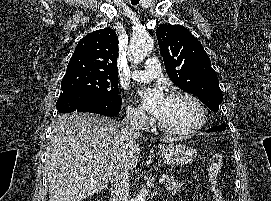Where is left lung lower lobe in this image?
Masks as SVG:
<instances>
[{"label": "left lung lower lobe", "mask_w": 271, "mask_h": 201, "mask_svg": "<svg viewBox=\"0 0 271 201\" xmlns=\"http://www.w3.org/2000/svg\"><path fill=\"white\" fill-rule=\"evenodd\" d=\"M226 127L220 125V126H214L212 128H209L206 132H221L224 131Z\"/></svg>", "instance_id": "left-lung-lower-lobe-1"}]
</instances>
